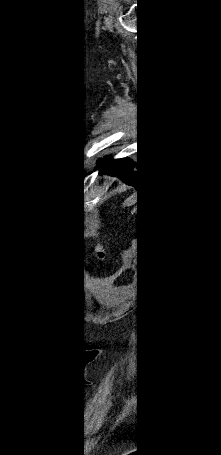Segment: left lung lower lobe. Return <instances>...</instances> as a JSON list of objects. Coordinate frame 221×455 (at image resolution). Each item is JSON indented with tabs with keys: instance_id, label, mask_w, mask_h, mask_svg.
<instances>
[{
	"instance_id": "obj_1",
	"label": "left lung lower lobe",
	"mask_w": 221,
	"mask_h": 455,
	"mask_svg": "<svg viewBox=\"0 0 221 455\" xmlns=\"http://www.w3.org/2000/svg\"><path fill=\"white\" fill-rule=\"evenodd\" d=\"M92 170L118 176L125 183L135 186L140 192H143L148 182V173L141 167L139 156L136 159L130 154L115 160L110 157L99 158L92 164Z\"/></svg>"
}]
</instances>
